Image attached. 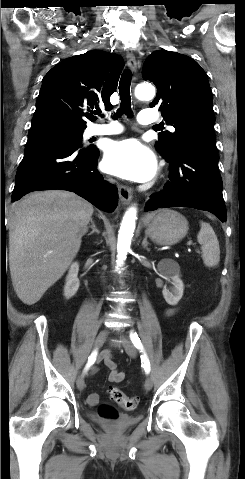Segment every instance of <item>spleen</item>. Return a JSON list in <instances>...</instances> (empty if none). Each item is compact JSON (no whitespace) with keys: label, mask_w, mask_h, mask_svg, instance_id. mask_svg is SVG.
I'll list each match as a JSON object with an SVG mask.
<instances>
[{"label":"spleen","mask_w":245,"mask_h":479,"mask_svg":"<svg viewBox=\"0 0 245 479\" xmlns=\"http://www.w3.org/2000/svg\"><path fill=\"white\" fill-rule=\"evenodd\" d=\"M201 229L197 235V241L202 246V259L207 267H214L220 261V247L217 236L207 222H200Z\"/></svg>","instance_id":"spleen-1"}]
</instances>
